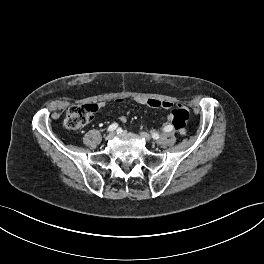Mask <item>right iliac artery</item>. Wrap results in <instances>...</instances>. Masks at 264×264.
<instances>
[{
	"label": "right iliac artery",
	"mask_w": 264,
	"mask_h": 264,
	"mask_svg": "<svg viewBox=\"0 0 264 264\" xmlns=\"http://www.w3.org/2000/svg\"><path fill=\"white\" fill-rule=\"evenodd\" d=\"M118 127L117 123H113L108 127V132L114 131Z\"/></svg>",
	"instance_id": "obj_1"
}]
</instances>
